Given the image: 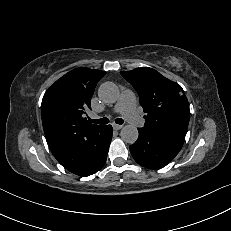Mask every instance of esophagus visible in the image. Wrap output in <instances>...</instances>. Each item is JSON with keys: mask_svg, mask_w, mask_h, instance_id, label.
Listing matches in <instances>:
<instances>
[{"mask_svg": "<svg viewBox=\"0 0 231 231\" xmlns=\"http://www.w3.org/2000/svg\"><path fill=\"white\" fill-rule=\"evenodd\" d=\"M112 126L114 130H120L123 127L122 125L119 124H113Z\"/></svg>", "mask_w": 231, "mask_h": 231, "instance_id": "1", "label": "esophagus"}]
</instances>
